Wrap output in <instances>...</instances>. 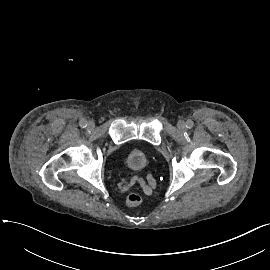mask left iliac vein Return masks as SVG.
<instances>
[{"mask_svg":"<svg viewBox=\"0 0 270 270\" xmlns=\"http://www.w3.org/2000/svg\"><path fill=\"white\" fill-rule=\"evenodd\" d=\"M178 128L180 130H185L186 129V123L184 121H179L178 122Z\"/></svg>","mask_w":270,"mask_h":270,"instance_id":"obj_1","label":"left iliac vein"}]
</instances>
